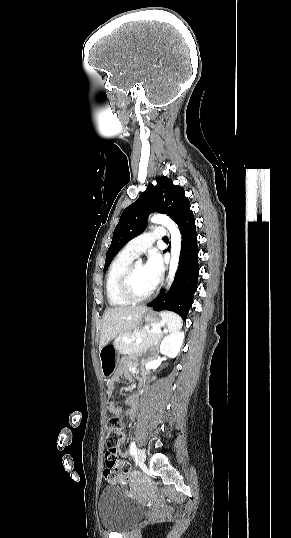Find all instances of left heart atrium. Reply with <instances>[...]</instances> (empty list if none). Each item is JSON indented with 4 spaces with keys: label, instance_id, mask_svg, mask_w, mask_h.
<instances>
[{
    "label": "left heart atrium",
    "instance_id": "obj_1",
    "mask_svg": "<svg viewBox=\"0 0 291 538\" xmlns=\"http://www.w3.org/2000/svg\"><path fill=\"white\" fill-rule=\"evenodd\" d=\"M144 268L151 283L156 286L163 273V263L160 255L157 252H151Z\"/></svg>",
    "mask_w": 291,
    "mask_h": 538
}]
</instances>
